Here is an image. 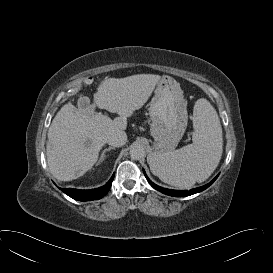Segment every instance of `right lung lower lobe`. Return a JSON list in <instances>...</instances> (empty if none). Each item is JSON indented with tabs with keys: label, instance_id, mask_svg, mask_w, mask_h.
Returning a JSON list of instances; mask_svg holds the SVG:
<instances>
[{
	"label": "right lung lower lobe",
	"instance_id": "98d812e1",
	"mask_svg": "<svg viewBox=\"0 0 273 273\" xmlns=\"http://www.w3.org/2000/svg\"><path fill=\"white\" fill-rule=\"evenodd\" d=\"M113 178H114V175L112 176V178L109 180V182L106 185L100 188L91 189V190L61 188V191H63L69 197L78 201L98 200L104 197L108 193L112 185Z\"/></svg>",
	"mask_w": 273,
	"mask_h": 273
}]
</instances>
